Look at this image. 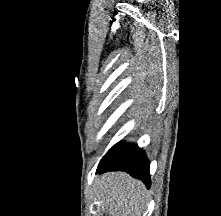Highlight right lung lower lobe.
<instances>
[{
	"label": "right lung lower lobe",
	"mask_w": 221,
	"mask_h": 216,
	"mask_svg": "<svg viewBox=\"0 0 221 216\" xmlns=\"http://www.w3.org/2000/svg\"><path fill=\"white\" fill-rule=\"evenodd\" d=\"M125 171L134 178L142 180L150 187L149 161L145 152L137 145H132L105 164H100L96 173L107 171Z\"/></svg>",
	"instance_id": "obj_1"
}]
</instances>
